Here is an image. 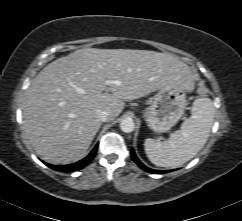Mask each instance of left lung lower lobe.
Masks as SVG:
<instances>
[{
    "label": "left lung lower lobe",
    "mask_w": 242,
    "mask_h": 221,
    "mask_svg": "<svg viewBox=\"0 0 242 221\" xmlns=\"http://www.w3.org/2000/svg\"><path fill=\"white\" fill-rule=\"evenodd\" d=\"M131 156H132V159L134 160V162L143 170L147 171V172H150V173H154V174H160V173H167V172H170L169 170H163V171H160V170H154V169H151V168H148L146 167L136 156L134 150H131Z\"/></svg>",
    "instance_id": "obj_1"
}]
</instances>
